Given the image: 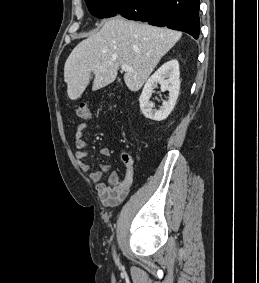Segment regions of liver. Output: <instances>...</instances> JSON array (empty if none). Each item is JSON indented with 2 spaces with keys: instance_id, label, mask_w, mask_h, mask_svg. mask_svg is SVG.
<instances>
[{
  "instance_id": "obj_1",
  "label": "liver",
  "mask_w": 259,
  "mask_h": 283,
  "mask_svg": "<svg viewBox=\"0 0 259 283\" xmlns=\"http://www.w3.org/2000/svg\"><path fill=\"white\" fill-rule=\"evenodd\" d=\"M182 33L120 16L106 21L96 34L81 41L70 53L64 66V80L71 100L78 99L95 76L92 90L111 84L118 69L127 64L124 81L131 91H138L160 59L176 44Z\"/></svg>"
}]
</instances>
